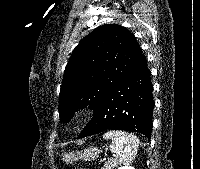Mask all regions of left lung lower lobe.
I'll list each match as a JSON object with an SVG mask.
<instances>
[{
    "instance_id": "1",
    "label": "left lung lower lobe",
    "mask_w": 200,
    "mask_h": 169,
    "mask_svg": "<svg viewBox=\"0 0 200 169\" xmlns=\"http://www.w3.org/2000/svg\"><path fill=\"white\" fill-rule=\"evenodd\" d=\"M150 76L144 58L118 86L105 95L78 139L105 130H126L150 138L154 106Z\"/></svg>"
}]
</instances>
